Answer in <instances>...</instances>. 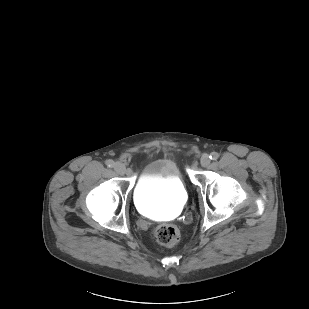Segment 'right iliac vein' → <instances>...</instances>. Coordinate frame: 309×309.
<instances>
[{"instance_id": "1", "label": "right iliac vein", "mask_w": 309, "mask_h": 309, "mask_svg": "<svg viewBox=\"0 0 309 309\" xmlns=\"http://www.w3.org/2000/svg\"><path fill=\"white\" fill-rule=\"evenodd\" d=\"M114 170L117 174L119 175H124L126 173V167L123 163L121 162H116L114 164Z\"/></svg>"}]
</instances>
